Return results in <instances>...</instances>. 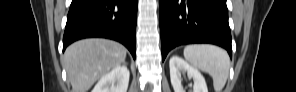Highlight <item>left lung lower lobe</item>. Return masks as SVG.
<instances>
[{"label":"left lung lower lobe","instance_id":"1","mask_svg":"<svg viewBox=\"0 0 296 92\" xmlns=\"http://www.w3.org/2000/svg\"><path fill=\"white\" fill-rule=\"evenodd\" d=\"M162 60L173 48L210 43L232 56L226 0H160Z\"/></svg>","mask_w":296,"mask_h":92}]
</instances>
